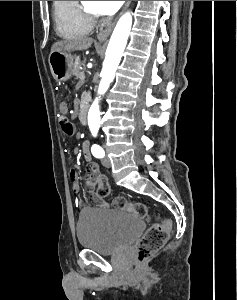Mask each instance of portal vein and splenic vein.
I'll return each instance as SVG.
<instances>
[{
  "instance_id": "portal-vein-and-splenic-vein-1",
  "label": "portal vein and splenic vein",
  "mask_w": 237,
  "mask_h": 300,
  "mask_svg": "<svg viewBox=\"0 0 237 300\" xmlns=\"http://www.w3.org/2000/svg\"><path fill=\"white\" fill-rule=\"evenodd\" d=\"M81 72H82V71H81ZM80 75L82 76V78H80V79H81V81H83V79H84L83 76H84L85 74L82 72Z\"/></svg>"
}]
</instances>
